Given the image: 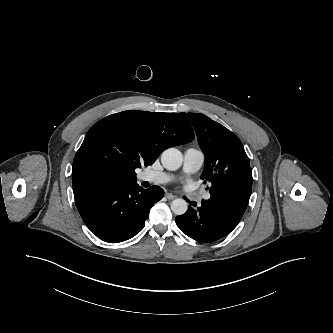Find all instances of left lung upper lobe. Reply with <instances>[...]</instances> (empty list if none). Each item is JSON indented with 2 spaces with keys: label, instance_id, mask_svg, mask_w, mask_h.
Segmentation results:
<instances>
[{
  "label": "left lung upper lobe",
  "instance_id": "obj_1",
  "mask_svg": "<svg viewBox=\"0 0 333 333\" xmlns=\"http://www.w3.org/2000/svg\"><path fill=\"white\" fill-rule=\"evenodd\" d=\"M181 115L193 126L205 155L201 179L211 185L210 192L217 190L223 176L250 167L244 147L234 133L203 114Z\"/></svg>",
  "mask_w": 333,
  "mask_h": 333
}]
</instances>
